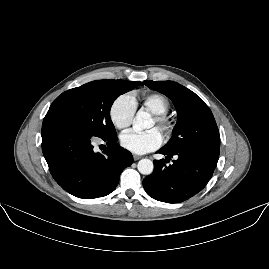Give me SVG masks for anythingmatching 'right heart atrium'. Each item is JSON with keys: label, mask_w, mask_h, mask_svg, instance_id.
Here are the masks:
<instances>
[{"label": "right heart atrium", "mask_w": 269, "mask_h": 269, "mask_svg": "<svg viewBox=\"0 0 269 269\" xmlns=\"http://www.w3.org/2000/svg\"><path fill=\"white\" fill-rule=\"evenodd\" d=\"M108 116L118 130L127 129L134 121L135 101L130 94H121L111 103Z\"/></svg>", "instance_id": "obj_1"}]
</instances>
